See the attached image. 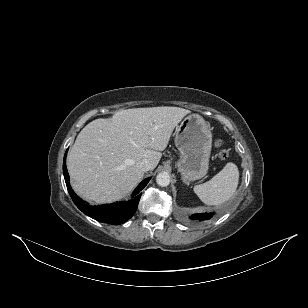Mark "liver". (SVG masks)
<instances>
[{
	"label": "liver",
	"instance_id": "obj_1",
	"mask_svg": "<svg viewBox=\"0 0 308 308\" xmlns=\"http://www.w3.org/2000/svg\"><path fill=\"white\" fill-rule=\"evenodd\" d=\"M189 113L168 106L133 108L87 124L67 158L74 191L97 204L121 199L143 177L136 164L147 159L153 170L174 128Z\"/></svg>",
	"mask_w": 308,
	"mask_h": 308
}]
</instances>
